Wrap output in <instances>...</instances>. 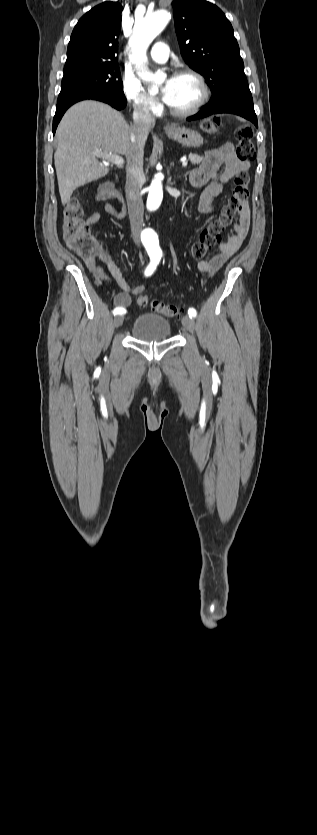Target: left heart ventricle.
<instances>
[{"label": "left heart ventricle", "mask_w": 317, "mask_h": 835, "mask_svg": "<svg viewBox=\"0 0 317 835\" xmlns=\"http://www.w3.org/2000/svg\"><path fill=\"white\" fill-rule=\"evenodd\" d=\"M166 82L164 83L165 86ZM163 86V87H164ZM199 97V87L191 77H174L168 105L177 110L190 108Z\"/></svg>", "instance_id": "obj_1"}]
</instances>
